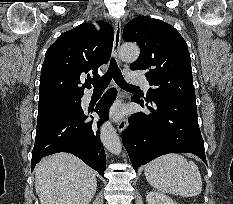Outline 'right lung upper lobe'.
<instances>
[{"label":"right lung upper lobe","mask_w":233,"mask_h":204,"mask_svg":"<svg viewBox=\"0 0 233 204\" xmlns=\"http://www.w3.org/2000/svg\"><path fill=\"white\" fill-rule=\"evenodd\" d=\"M99 23L101 31L92 23H83L63 33L49 47L41 68L39 102L84 95L87 83L80 87V76H98V67L111 55L113 28L106 22Z\"/></svg>","instance_id":"1"}]
</instances>
